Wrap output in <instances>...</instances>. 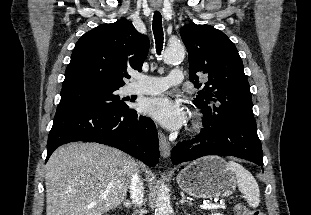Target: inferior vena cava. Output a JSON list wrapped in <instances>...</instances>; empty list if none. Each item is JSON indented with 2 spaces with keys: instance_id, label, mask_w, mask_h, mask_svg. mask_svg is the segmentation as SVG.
<instances>
[{
  "instance_id": "602c4592",
  "label": "inferior vena cava",
  "mask_w": 311,
  "mask_h": 215,
  "mask_svg": "<svg viewBox=\"0 0 311 215\" xmlns=\"http://www.w3.org/2000/svg\"><path fill=\"white\" fill-rule=\"evenodd\" d=\"M143 189L144 187L140 176L137 173H134L131 177L130 194L135 206L141 205L143 201Z\"/></svg>"
}]
</instances>
